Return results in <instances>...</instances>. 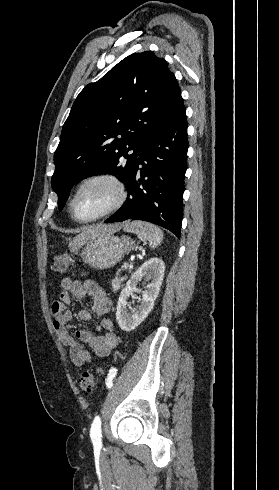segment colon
I'll return each instance as SVG.
<instances>
[{
	"instance_id": "1",
	"label": "colon",
	"mask_w": 279,
	"mask_h": 490,
	"mask_svg": "<svg viewBox=\"0 0 279 490\" xmlns=\"http://www.w3.org/2000/svg\"><path fill=\"white\" fill-rule=\"evenodd\" d=\"M73 259L67 253H61L53 258L52 268L59 274H65ZM79 389L91 393L95 387V378L90 370H84L78 377Z\"/></svg>"
}]
</instances>
